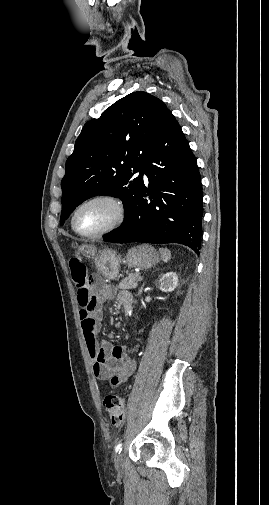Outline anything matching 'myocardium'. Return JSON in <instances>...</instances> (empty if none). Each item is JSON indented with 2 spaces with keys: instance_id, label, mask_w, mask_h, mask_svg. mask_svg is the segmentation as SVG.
I'll return each instance as SVG.
<instances>
[{
  "instance_id": "f54148a6",
  "label": "myocardium",
  "mask_w": 269,
  "mask_h": 505,
  "mask_svg": "<svg viewBox=\"0 0 269 505\" xmlns=\"http://www.w3.org/2000/svg\"><path fill=\"white\" fill-rule=\"evenodd\" d=\"M96 201H106V202L111 203L116 209V216H115L114 220L108 226H106L105 228H103L97 232H94V233L81 232L76 227V223H75L76 216L82 207H84L85 205H87L89 203L96 202ZM126 216H127V208H126L124 201L120 197H118L114 194H110V193H101V194H96V195H93V196L85 199L75 208V210L73 211L72 217H71V227H72L73 231L81 237L97 238V237L103 236V235L117 229L118 227H120L124 223Z\"/></svg>"
}]
</instances>
